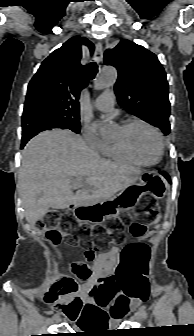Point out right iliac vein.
<instances>
[{
	"mask_svg": "<svg viewBox=\"0 0 194 336\" xmlns=\"http://www.w3.org/2000/svg\"><path fill=\"white\" fill-rule=\"evenodd\" d=\"M53 319L56 323L60 322V315L59 314L54 315Z\"/></svg>",
	"mask_w": 194,
	"mask_h": 336,
	"instance_id": "obj_1",
	"label": "right iliac vein"
}]
</instances>
